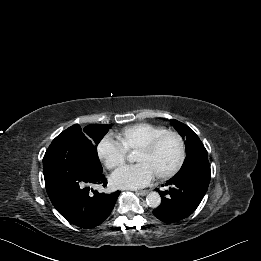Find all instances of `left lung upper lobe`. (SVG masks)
Returning a JSON list of instances; mask_svg holds the SVG:
<instances>
[{"label": "left lung upper lobe", "mask_w": 261, "mask_h": 261, "mask_svg": "<svg viewBox=\"0 0 261 261\" xmlns=\"http://www.w3.org/2000/svg\"><path fill=\"white\" fill-rule=\"evenodd\" d=\"M171 124L175 127L178 133L185 138V146H186V158L185 161L177 174L184 173L198 163L208 160L207 157V150L205 149L204 145L196 135L194 131H192L188 126L185 124L177 121V120H170Z\"/></svg>", "instance_id": "left-lung-upper-lobe-1"}]
</instances>
